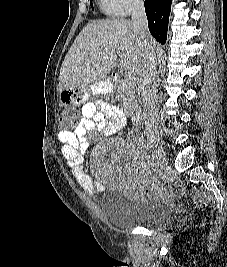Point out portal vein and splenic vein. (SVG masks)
Returning a JSON list of instances; mask_svg holds the SVG:
<instances>
[{"label": "portal vein and splenic vein", "instance_id": "18ae733b", "mask_svg": "<svg viewBox=\"0 0 227 267\" xmlns=\"http://www.w3.org/2000/svg\"><path fill=\"white\" fill-rule=\"evenodd\" d=\"M124 79L129 85H132L136 81V75L132 72H126L124 75Z\"/></svg>", "mask_w": 227, "mask_h": 267}]
</instances>
